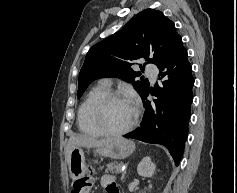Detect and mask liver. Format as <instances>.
Wrapping results in <instances>:
<instances>
[{
    "instance_id": "obj_1",
    "label": "liver",
    "mask_w": 237,
    "mask_h": 193,
    "mask_svg": "<svg viewBox=\"0 0 237 193\" xmlns=\"http://www.w3.org/2000/svg\"><path fill=\"white\" fill-rule=\"evenodd\" d=\"M112 140H113L112 138L96 140L86 135L70 136L66 146V153H65L68 165H69L70 151L72 150V148L74 147L97 148L104 144L109 143Z\"/></svg>"
}]
</instances>
